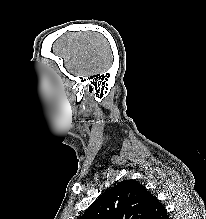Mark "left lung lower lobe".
<instances>
[{"label":"left lung lower lobe","instance_id":"1","mask_svg":"<svg viewBox=\"0 0 206 219\" xmlns=\"http://www.w3.org/2000/svg\"><path fill=\"white\" fill-rule=\"evenodd\" d=\"M151 211L147 219H169L167 210L154 196L151 201Z\"/></svg>","mask_w":206,"mask_h":219}]
</instances>
